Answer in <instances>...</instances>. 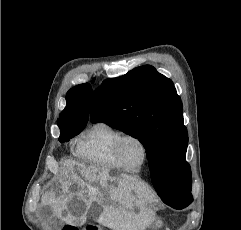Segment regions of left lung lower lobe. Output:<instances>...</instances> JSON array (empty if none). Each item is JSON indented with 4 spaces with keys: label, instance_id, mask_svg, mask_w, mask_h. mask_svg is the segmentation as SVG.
<instances>
[{
    "label": "left lung lower lobe",
    "instance_id": "0a47b994",
    "mask_svg": "<svg viewBox=\"0 0 241 230\" xmlns=\"http://www.w3.org/2000/svg\"><path fill=\"white\" fill-rule=\"evenodd\" d=\"M157 168H159L158 166H155L152 168L151 170V180L152 183L155 187V189L161 184L162 181V177H161V173L159 170H157ZM175 209H182L184 207H186L188 204H167Z\"/></svg>",
    "mask_w": 241,
    "mask_h": 230
}]
</instances>
